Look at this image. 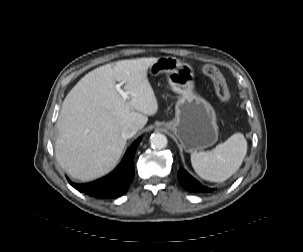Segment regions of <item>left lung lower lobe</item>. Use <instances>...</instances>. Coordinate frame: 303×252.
I'll return each instance as SVG.
<instances>
[{
	"label": "left lung lower lobe",
	"mask_w": 303,
	"mask_h": 252,
	"mask_svg": "<svg viewBox=\"0 0 303 252\" xmlns=\"http://www.w3.org/2000/svg\"><path fill=\"white\" fill-rule=\"evenodd\" d=\"M178 180L180 184L187 190L191 192H196V193H208L212 192L214 189L208 188L206 186H203L200 184L196 179H194L190 174L187 173L183 168L179 169L178 173Z\"/></svg>",
	"instance_id": "0a47b994"
}]
</instances>
